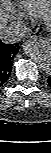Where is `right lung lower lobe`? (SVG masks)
Masks as SVG:
<instances>
[{
  "label": "right lung lower lobe",
  "mask_w": 51,
  "mask_h": 153,
  "mask_svg": "<svg viewBox=\"0 0 51 153\" xmlns=\"http://www.w3.org/2000/svg\"><path fill=\"white\" fill-rule=\"evenodd\" d=\"M18 51V44H4L0 40V87L8 80L12 72L13 59Z\"/></svg>",
  "instance_id": "right-lung-lower-lobe-1"
}]
</instances>
